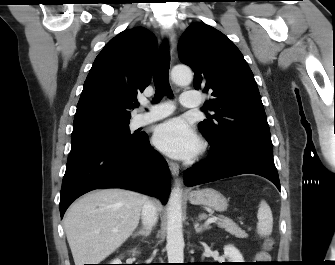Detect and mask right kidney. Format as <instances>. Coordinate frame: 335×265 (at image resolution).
I'll return each mask as SVG.
<instances>
[{"label": "right kidney", "instance_id": "1", "mask_svg": "<svg viewBox=\"0 0 335 265\" xmlns=\"http://www.w3.org/2000/svg\"><path fill=\"white\" fill-rule=\"evenodd\" d=\"M112 264H121V260L120 259H116V260H114V262H112Z\"/></svg>", "mask_w": 335, "mask_h": 265}]
</instances>
